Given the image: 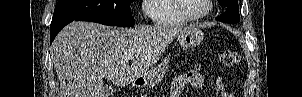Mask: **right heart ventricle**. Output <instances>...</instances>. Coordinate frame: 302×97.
<instances>
[{
    "label": "right heart ventricle",
    "instance_id": "1",
    "mask_svg": "<svg viewBox=\"0 0 302 97\" xmlns=\"http://www.w3.org/2000/svg\"><path fill=\"white\" fill-rule=\"evenodd\" d=\"M146 15L159 26H183L189 23L175 8V0H147Z\"/></svg>",
    "mask_w": 302,
    "mask_h": 97
}]
</instances>
